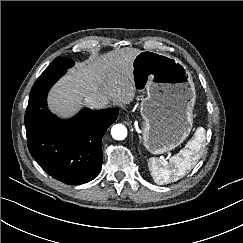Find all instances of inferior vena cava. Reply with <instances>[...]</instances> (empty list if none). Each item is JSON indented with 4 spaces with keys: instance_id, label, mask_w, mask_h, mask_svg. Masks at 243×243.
<instances>
[{
    "instance_id": "1",
    "label": "inferior vena cava",
    "mask_w": 243,
    "mask_h": 243,
    "mask_svg": "<svg viewBox=\"0 0 243 243\" xmlns=\"http://www.w3.org/2000/svg\"><path fill=\"white\" fill-rule=\"evenodd\" d=\"M85 103L92 109H102L109 104V99L100 92H94L85 98Z\"/></svg>"
}]
</instances>
